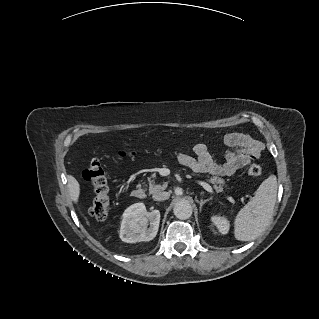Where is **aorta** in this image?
Returning a JSON list of instances; mask_svg holds the SVG:
<instances>
[{"instance_id": "762f6f07", "label": "aorta", "mask_w": 319, "mask_h": 319, "mask_svg": "<svg viewBox=\"0 0 319 319\" xmlns=\"http://www.w3.org/2000/svg\"><path fill=\"white\" fill-rule=\"evenodd\" d=\"M174 215L180 220H186L192 215V206L187 200H180L173 208Z\"/></svg>"}]
</instances>
